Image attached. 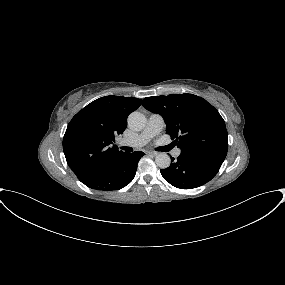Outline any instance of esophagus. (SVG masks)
<instances>
[{
  "label": "esophagus",
  "mask_w": 285,
  "mask_h": 285,
  "mask_svg": "<svg viewBox=\"0 0 285 285\" xmlns=\"http://www.w3.org/2000/svg\"><path fill=\"white\" fill-rule=\"evenodd\" d=\"M147 154L151 155V156H156L157 152H155V151H148Z\"/></svg>",
  "instance_id": "34e87169"
}]
</instances>
